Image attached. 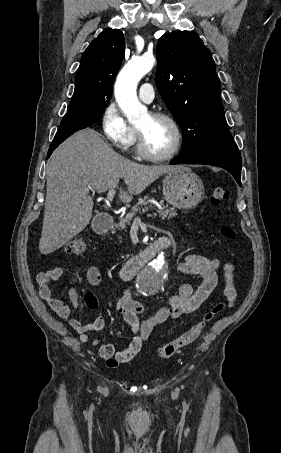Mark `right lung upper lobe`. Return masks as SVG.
<instances>
[{"label": "right lung upper lobe", "instance_id": "cb5924a9", "mask_svg": "<svg viewBox=\"0 0 281 453\" xmlns=\"http://www.w3.org/2000/svg\"><path fill=\"white\" fill-rule=\"evenodd\" d=\"M125 53L122 31L106 29L91 42L82 55L76 73L75 91L69 106L97 105L106 107Z\"/></svg>", "mask_w": 281, "mask_h": 453}]
</instances>
